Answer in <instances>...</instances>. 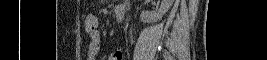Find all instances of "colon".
Listing matches in <instances>:
<instances>
[{
  "label": "colon",
  "instance_id": "obj_1",
  "mask_svg": "<svg viewBox=\"0 0 267 60\" xmlns=\"http://www.w3.org/2000/svg\"><path fill=\"white\" fill-rule=\"evenodd\" d=\"M84 28L89 34H93L98 28V19L94 14H87L84 18Z\"/></svg>",
  "mask_w": 267,
  "mask_h": 60
}]
</instances>
